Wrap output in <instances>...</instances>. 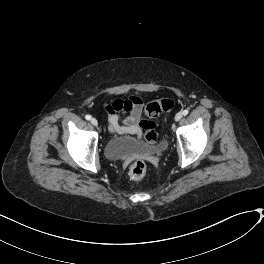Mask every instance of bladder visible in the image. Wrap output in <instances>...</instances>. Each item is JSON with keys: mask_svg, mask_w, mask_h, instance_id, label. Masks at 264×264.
<instances>
[{"mask_svg": "<svg viewBox=\"0 0 264 264\" xmlns=\"http://www.w3.org/2000/svg\"><path fill=\"white\" fill-rule=\"evenodd\" d=\"M166 146V139L151 142L128 135L108 140L104 147V154L109 161H117L134 155H157L164 152Z\"/></svg>", "mask_w": 264, "mask_h": 264, "instance_id": "obj_1", "label": "bladder"}]
</instances>
